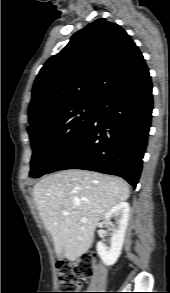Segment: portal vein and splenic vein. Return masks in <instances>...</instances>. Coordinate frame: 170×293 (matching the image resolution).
<instances>
[{"label": "portal vein and splenic vein", "instance_id": "obj_1", "mask_svg": "<svg viewBox=\"0 0 170 293\" xmlns=\"http://www.w3.org/2000/svg\"><path fill=\"white\" fill-rule=\"evenodd\" d=\"M62 214H63L64 216H68V215H69V213H68L67 211H62Z\"/></svg>", "mask_w": 170, "mask_h": 293}]
</instances>
